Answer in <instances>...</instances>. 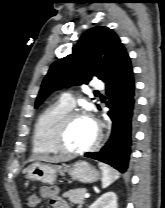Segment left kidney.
<instances>
[{"label": "left kidney", "mask_w": 165, "mask_h": 208, "mask_svg": "<svg viewBox=\"0 0 165 208\" xmlns=\"http://www.w3.org/2000/svg\"><path fill=\"white\" fill-rule=\"evenodd\" d=\"M89 208H118L117 196L110 191L99 197Z\"/></svg>", "instance_id": "1"}]
</instances>
